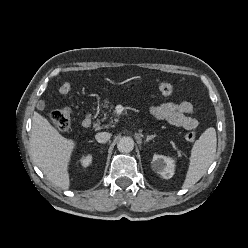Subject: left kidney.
Instances as JSON below:
<instances>
[{"label": "left kidney", "instance_id": "obj_1", "mask_svg": "<svg viewBox=\"0 0 248 248\" xmlns=\"http://www.w3.org/2000/svg\"><path fill=\"white\" fill-rule=\"evenodd\" d=\"M152 168L163 178L169 179L174 175L175 160L169 156L154 154Z\"/></svg>", "mask_w": 248, "mask_h": 248}]
</instances>
